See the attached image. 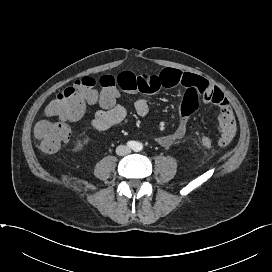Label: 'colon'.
I'll return each instance as SVG.
<instances>
[{
  "mask_svg": "<svg viewBox=\"0 0 272 272\" xmlns=\"http://www.w3.org/2000/svg\"><path fill=\"white\" fill-rule=\"evenodd\" d=\"M97 85L99 90H97ZM118 85L116 78L111 75L102 76L98 82L92 77H82L57 94L46 107V115L58 117L61 121L43 120L36 124L35 135L40 140L43 151L56 152L61 144L70 136V128L66 121L80 118L89 104L98 103L103 108L116 104ZM205 148H211L213 141L204 136L200 140Z\"/></svg>",
  "mask_w": 272,
  "mask_h": 272,
  "instance_id": "5ec220e1",
  "label": "colon"
}]
</instances>
